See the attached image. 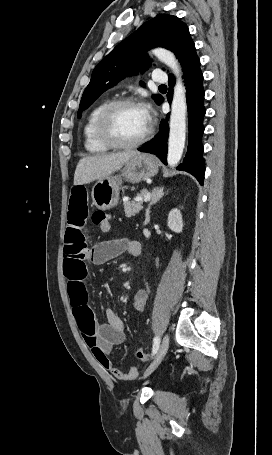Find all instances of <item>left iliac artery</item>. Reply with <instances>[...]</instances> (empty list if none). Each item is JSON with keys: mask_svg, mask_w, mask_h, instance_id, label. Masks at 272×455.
<instances>
[{"mask_svg": "<svg viewBox=\"0 0 272 455\" xmlns=\"http://www.w3.org/2000/svg\"><path fill=\"white\" fill-rule=\"evenodd\" d=\"M159 344H160V338H159V336H156L154 338V342H153V349H152V355L153 356L158 352Z\"/></svg>", "mask_w": 272, "mask_h": 455, "instance_id": "1", "label": "left iliac artery"}]
</instances>
